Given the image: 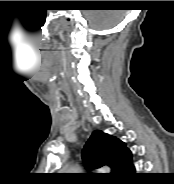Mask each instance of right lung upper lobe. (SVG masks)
Returning <instances> with one entry per match:
<instances>
[{"mask_svg":"<svg viewBox=\"0 0 174 184\" xmlns=\"http://www.w3.org/2000/svg\"><path fill=\"white\" fill-rule=\"evenodd\" d=\"M82 158L89 168L109 166L115 176L131 160L132 155L124 142L95 130L84 147Z\"/></svg>","mask_w":174,"mask_h":184,"instance_id":"right-lung-upper-lobe-1","label":"right lung upper lobe"}]
</instances>
